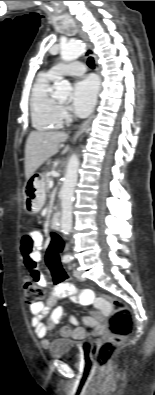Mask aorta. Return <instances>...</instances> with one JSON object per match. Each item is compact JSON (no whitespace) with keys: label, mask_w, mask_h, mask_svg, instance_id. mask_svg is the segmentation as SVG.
I'll use <instances>...</instances> for the list:
<instances>
[{"label":"aorta","mask_w":155,"mask_h":395,"mask_svg":"<svg viewBox=\"0 0 155 395\" xmlns=\"http://www.w3.org/2000/svg\"><path fill=\"white\" fill-rule=\"evenodd\" d=\"M84 52L82 42H68L61 46V58L64 61H72ZM72 90L68 80H61L55 84L54 97L58 100H66ZM79 158L73 154L66 168V174L63 185L60 190L61 198V230L65 235H69L72 229V204L74 199V190L78 179Z\"/></svg>","instance_id":"aorta-1"}]
</instances>
